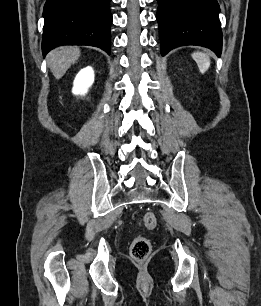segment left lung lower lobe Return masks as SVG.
<instances>
[{
	"instance_id": "1",
	"label": "left lung lower lobe",
	"mask_w": 261,
	"mask_h": 306,
	"mask_svg": "<svg viewBox=\"0 0 261 306\" xmlns=\"http://www.w3.org/2000/svg\"><path fill=\"white\" fill-rule=\"evenodd\" d=\"M161 54L183 45H200L222 52L217 0H157Z\"/></svg>"
}]
</instances>
